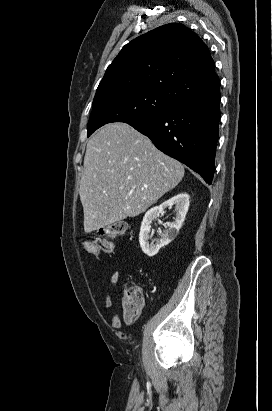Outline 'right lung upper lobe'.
Here are the masks:
<instances>
[{"instance_id":"cb5924a9","label":"right lung upper lobe","mask_w":272,"mask_h":411,"mask_svg":"<svg viewBox=\"0 0 272 411\" xmlns=\"http://www.w3.org/2000/svg\"><path fill=\"white\" fill-rule=\"evenodd\" d=\"M220 86L207 45L183 24L170 23L126 44L108 66L97 92L150 88L177 101Z\"/></svg>"}]
</instances>
